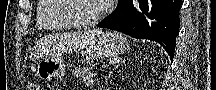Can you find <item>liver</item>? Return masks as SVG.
Listing matches in <instances>:
<instances>
[{
	"label": "liver",
	"mask_w": 216,
	"mask_h": 90,
	"mask_svg": "<svg viewBox=\"0 0 216 90\" xmlns=\"http://www.w3.org/2000/svg\"><path fill=\"white\" fill-rule=\"evenodd\" d=\"M102 34L101 30H87V32H75V34H71L68 36V44L72 46V48H82V46H90L93 40H95L96 36Z\"/></svg>",
	"instance_id": "1"
}]
</instances>
